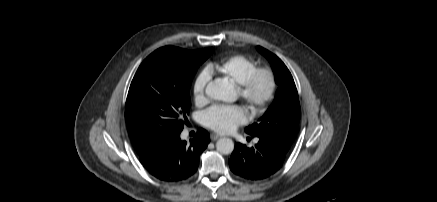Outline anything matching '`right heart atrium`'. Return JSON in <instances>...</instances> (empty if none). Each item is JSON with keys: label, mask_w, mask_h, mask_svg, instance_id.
<instances>
[{"label": "right heart atrium", "mask_w": 437, "mask_h": 202, "mask_svg": "<svg viewBox=\"0 0 437 202\" xmlns=\"http://www.w3.org/2000/svg\"><path fill=\"white\" fill-rule=\"evenodd\" d=\"M210 81V73L208 70H202L195 78L193 83V95L197 102L203 101L205 98L206 87Z\"/></svg>", "instance_id": "obj_1"}]
</instances>
